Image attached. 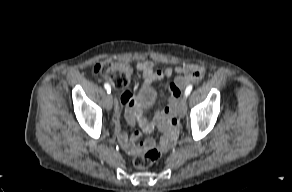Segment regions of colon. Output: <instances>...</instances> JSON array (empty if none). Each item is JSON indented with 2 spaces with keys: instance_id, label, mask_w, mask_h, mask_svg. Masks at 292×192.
<instances>
[{
  "instance_id": "colon-1",
  "label": "colon",
  "mask_w": 292,
  "mask_h": 192,
  "mask_svg": "<svg viewBox=\"0 0 292 192\" xmlns=\"http://www.w3.org/2000/svg\"><path fill=\"white\" fill-rule=\"evenodd\" d=\"M93 73L104 77L115 89L123 90L130 83L132 68L127 63L100 62L93 67ZM159 156L160 151L151 147L143 154L136 156L133 164L138 169H145L156 162Z\"/></svg>"
}]
</instances>
